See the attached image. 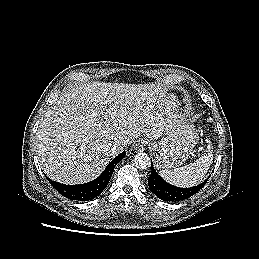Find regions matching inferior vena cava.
Instances as JSON below:
<instances>
[{
	"label": "inferior vena cava",
	"instance_id": "602c4592",
	"mask_svg": "<svg viewBox=\"0 0 259 259\" xmlns=\"http://www.w3.org/2000/svg\"><path fill=\"white\" fill-rule=\"evenodd\" d=\"M128 145V142L124 141V142H120V143H116L114 145V149H116L117 151L121 152L123 149H125Z\"/></svg>",
	"mask_w": 259,
	"mask_h": 259
}]
</instances>
